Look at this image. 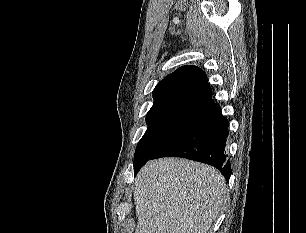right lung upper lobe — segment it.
Wrapping results in <instances>:
<instances>
[{
    "mask_svg": "<svg viewBox=\"0 0 306 233\" xmlns=\"http://www.w3.org/2000/svg\"><path fill=\"white\" fill-rule=\"evenodd\" d=\"M206 74L196 66H183L160 81L154 91V104L180 101L201 106L214 104Z\"/></svg>",
    "mask_w": 306,
    "mask_h": 233,
    "instance_id": "1",
    "label": "right lung upper lobe"
}]
</instances>
